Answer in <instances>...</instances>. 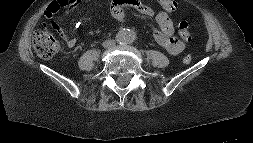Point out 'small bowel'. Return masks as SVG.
<instances>
[{"mask_svg": "<svg viewBox=\"0 0 253 143\" xmlns=\"http://www.w3.org/2000/svg\"><path fill=\"white\" fill-rule=\"evenodd\" d=\"M110 2V14L114 22L122 23L127 17L125 9L130 8L139 14L154 17L158 28L154 31V38L157 43L163 47L169 54L178 55L185 48V40L174 36V26L170 18V13L176 9V4L172 0H157L159 10L140 1V0H103ZM48 18H52L53 14L46 12ZM52 27L62 37L65 44L72 48L76 44L75 38L71 37L61 24L51 23Z\"/></svg>", "mask_w": 253, "mask_h": 143, "instance_id": "1", "label": "small bowel"}]
</instances>
